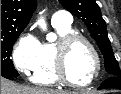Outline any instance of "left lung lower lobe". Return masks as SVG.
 <instances>
[{
	"instance_id": "0a47b994",
	"label": "left lung lower lobe",
	"mask_w": 121,
	"mask_h": 94,
	"mask_svg": "<svg viewBox=\"0 0 121 94\" xmlns=\"http://www.w3.org/2000/svg\"><path fill=\"white\" fill-rule=\"evenodd\" d=\"M110 87H114V88H118L121 90V78L120 77H111L107 80H105L101 86L99 87V89H104V88H110Z\"/></svg>"
}]
</instances>
